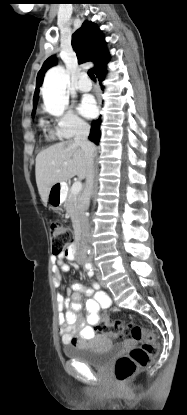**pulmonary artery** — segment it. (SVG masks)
Wrapping results in <instances>:
<instances>
[{"instance_id": "1", "label": "pulmonary artery", "mask_w": 187, "mask_h": 415, "mask_svg": "<svg viewBox=\"0 0 187 415\" xmlns=\"http://www.w3.org/2000/svg\"><path fill=\"white\" fill-rule=\"evenodd\" d=\"M77 90L81 92H87L90 91L92 88L91 81L87 78V75L85 73H82L80 76V79L76 85Z\"/></svg>"}]
</instances>
